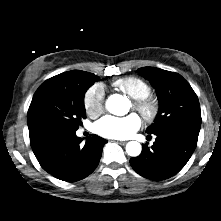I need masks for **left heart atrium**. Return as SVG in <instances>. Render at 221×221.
Instances as JSON below:
<instances>
[{"mask_svg":"<svg viewBox=\"0 0 221 221\" xmlns=\"http://www.w3.org/2000/svg\"><path fill=\"white\" fill-rule=\"evenodd\" d=\"M140 125V118L134 113L124 117L107 115L95 124V130L103 137L126 139L131 137Z\"/></svg>","mask_w":221,"mask_h":221,"instance_id":"39dd6f15","label":"left heart atrium"}]
</instances>
